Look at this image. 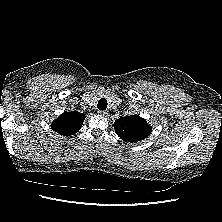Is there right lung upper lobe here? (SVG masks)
<instances>
[{"instance_id":"1","label":"right lung upper lobe","mask_w":222,"mask_h":222,"mask_svg":"<svg viewBox=\"0 0 222 222\" xmlns=\"http://www.w3.org/2000/svg\"><path fill=\"white\" fill-rule=\"evenodd\" d=\"M85 115L77 111L64 112L52 123V129L60 135L71 136L82 126Z\"/></svg>"}]
</instances>
